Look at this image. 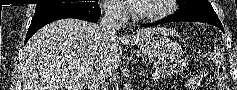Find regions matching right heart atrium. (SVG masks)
Masks as SVG:
<instances>
[{
  "mask_svg": "<svg viewBox=\"0 0 237 90\" xmlns=\"http://www.w3.org/2000/svg\"><path fill=\"white\" fill-rule=\"evenodd\" d=\"M108 13L110 16L116 18V19H120L123 17L125 10L122 6L116 4L113 6H108Z\"/></svg>",
  "mask_w": 237,
  "mask_h": 90,
  "instance_id": "1",
  "label": "right heart atrium"
}]
</instances>
